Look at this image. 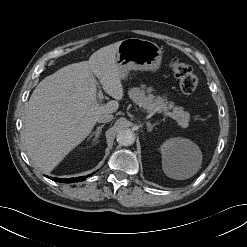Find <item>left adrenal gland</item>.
<instances>
[{
  "mask_svg": "<svg viewBox=\"0 0 247 247\" xmlns=\"http://www.w3.org/2000/svg\"><path fill=\"white\" fill-rule=\"evenodd\" d=\"M158 123H154L151 124L150 122H146V126H147V130L150 132L153 130V128L155 127V125H157Z\"/></svg>",
  "mask_w": 247,
  "mask_h": 247,
  "instance_id": "1",
  "label": "left adrenal gland"
}]
</instances>
